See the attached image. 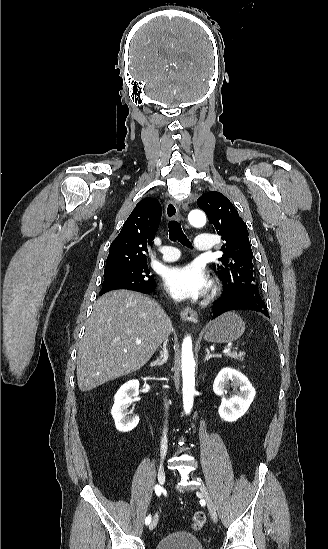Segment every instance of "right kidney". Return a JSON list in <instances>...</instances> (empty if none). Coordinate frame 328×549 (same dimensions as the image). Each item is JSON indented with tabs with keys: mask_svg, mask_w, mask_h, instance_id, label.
<instances>
[{
	"mask_svg": "<svg viewBox=\"0 0 328 549\" xmlns=\"http://www.w3.org/2000/svg\"><path fill=\"white\" fill-rule=\"evenodd\" d=\"M138 395L139 381L133 379V381H127L125 385H122L114 397L111 415L115 421L116 429L121 433L132 431L139 423V417H127V415H133V409L128 411V407L134 403L135 397Z\"/></svg>",
	"mask_w": 328,
	"mask_h": 549,
	"instance_id": "1",
	"label": "right kidney"
}]
</instances>
